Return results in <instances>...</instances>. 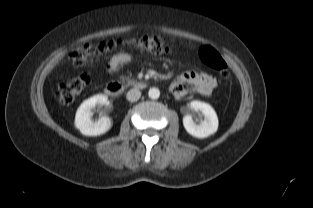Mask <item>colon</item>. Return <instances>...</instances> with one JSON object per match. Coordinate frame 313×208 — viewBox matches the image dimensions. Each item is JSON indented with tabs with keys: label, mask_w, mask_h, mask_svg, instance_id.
Wrapping results in <instances>:
<instances>
[{
	"label": "colon",
	"mask_w": 313,
	"mask_h": 208,
	"mask_svg": "<svg viewBox=\"0 0 313 208\" xmlns=\"http://www.w3.org/2000/svg\"><path fill=\"white\" fill-rule=\"evenodd\" d=\"M133 48L141 52H148L155 55L169 54L174 51L172 44L158 36H144L131 40H111L102 42L98 47L90 44H81L70 52V58L74 65L80 66L91 59L107 55L114 50ZM200 59L209 67L214 69L223 80L229 79L227 65L220 54L211 47H202L199 50ZM88 75H79L61 80L56 84L58 101L61 105H69L75 101L89 84Z\"/></svg>",
	"instance_id": "1"
}]
</instances>
